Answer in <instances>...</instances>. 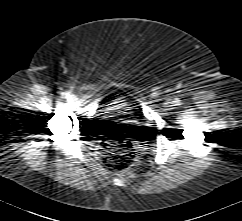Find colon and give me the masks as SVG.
Returning a JSON list of instances; mask_svg holds the SVG:
<instances>
[{"mask_svg":"<svg viewBox=\"0 0 242 221\" xmlns=\"http://www.w3.org/2000/svg\"><path fill=\"white\" fill-rule=\"evenodd\" d=\"M101 161L105 168L112 172H123L134 163L136 149L125 140L105 142L100 147Z\"/></svg>","mask_w":242,"mask_h":221,"instance_id":"5ec220e1","label":"colon"}]
</instances>
